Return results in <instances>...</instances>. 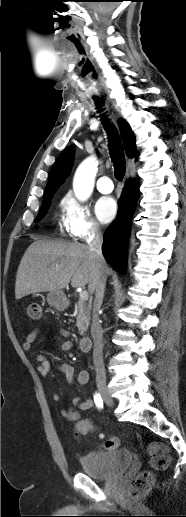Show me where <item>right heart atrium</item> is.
Masks as SVG:
<instances>
[{
  "mask_svg": "<svg viewBox=\"0 0 186 517\" xmlns=\"http://www.w3.org/2000/svg\"><path fill=\"white\" fill-rule=\"evenodd\" d=\"M60 221L63 230L77 240L86 241L101 233L88 206L72 194H66L60 201Z\"/></svg>",
  "mask_w": 186,
  "mask_h": 517,
  "instance_id": "1",
  "label": "right heart atrium"
}]
</instances>
